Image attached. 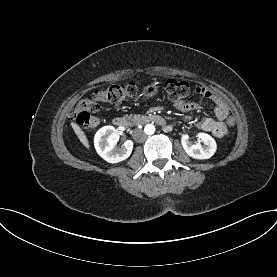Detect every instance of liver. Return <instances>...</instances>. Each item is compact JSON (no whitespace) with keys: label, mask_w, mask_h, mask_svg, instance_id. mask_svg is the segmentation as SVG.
Here are the masks:
<instances>
[{"label":"liver","mask_w":277,"mask_h":277,"mask_svg":"<svg viewBox=\"0 0 277 277\" xmlns=\"http://www.w3.org/2000/svg\"><path fill=\"white\" fill-rule=\"evenodd\" d=\"M72 125V128L75 132V134L77 135V137L79 138L80 142L87 148L89 149L90 146H89V142H88V139L85 135V133L82 131V129L74 122L71 123Z\"/></svg>","instance_id":"liver-1"}]
</instances>
